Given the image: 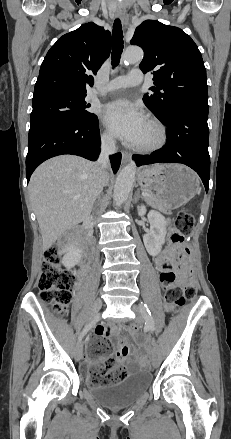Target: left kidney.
<instances>
[{"instance_id": "5707ae66", "label": "left kidney", "mask_w": 231, "mask_h": 439, "mask_svg": "<svg viewBox=\"0 0 231 439\" xmlns=\"http://www.w3.org/2000/svg\"><path fill=\"white\" fill-rule=\"evenodd\" d=\"M137 209L138 215L143 216L146 214L144 205L138 206ZM148 220L150 222V231L143 236V241L147 252L151 256H157L165 242L166 220L162 214L154 210L149 212Z\"/></svg>"}]
</instances>
